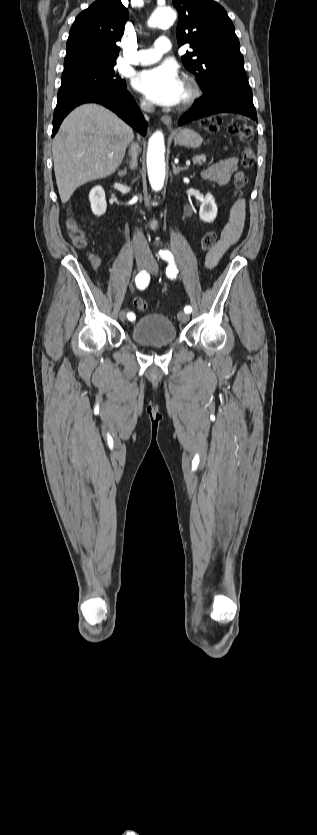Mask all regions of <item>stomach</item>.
<instances>
[{"mask_svg":"<svg viewBox=\"0 0 317 835\" xmlns=\"http://www.w3.org/2000/svg\"><path fill=\"white\" fill-rule=\"evenodd\" d=\"M173 136L175 144L186 148H197L203 141L201 136L190 128L179 129L173 133Z\"/></svg>","mask_w":317,"mask_h":835,"instance_id":"obj_1","label":"stomach"}]
</instances>
